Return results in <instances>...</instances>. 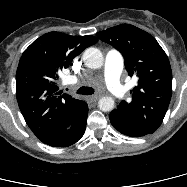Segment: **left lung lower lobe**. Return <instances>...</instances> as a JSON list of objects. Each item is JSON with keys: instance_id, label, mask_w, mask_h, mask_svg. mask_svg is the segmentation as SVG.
Instances as JSON below:
<instances>
[{"instance_id": "1", "label": "left lung lower lobe", "mask_w": 187, "mask_h": 187, "mask_svg": "<svg viewBox=\"0 0 187 187\" xmlns=\"http://www.w3.org/2000/svg\"><path fill=\"white\" fill-rule=\"evenodd\" d=\"M110 121L117 131L130 137H141L151 134L147 130L130 122L127 118L114 110L110 113Z\"/></svg>"}]
</instances>
